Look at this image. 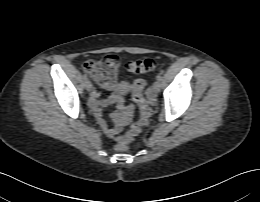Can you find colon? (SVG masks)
I'll return each mask as SVG.
<instances>
[{"mask_svg": "<svg viewBox=\"0 0 260 202\" xmlns=\"http://www.w3.org/2000/svg\"><path fill=\"white\" fill-rule=\"evenodd\" d=\"M155 63L152 59H140L132 61L127 65V69L134 74H142L152 70ZM120 67L118 58L115 55H107L100 60H89L84 64V71L90 77L95 79L99 84L113 81L116 78ZM146 82L137 80L133 85V100L141 111L140 119L135 122L130 129L116 142L115 150L117 152H126L128 143H130L145 126L151 115L152 108L144 96Z\"/></svg>", "mask_w": 260, "mask_h": 202, "instance_id": "5ec220e1", "label": "colon"}]
</instances>
